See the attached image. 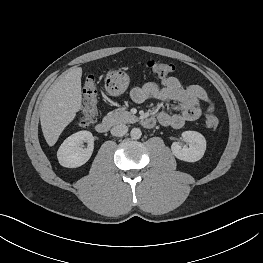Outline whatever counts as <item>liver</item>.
Returning <instances> with one entry per match:
<instances>
[{"mask_svg":"<svg viewBox=\"0 0 263 263\" xmlns=\"http://www.w3.org/2000/svg\"><path fill=\"white\" fill-rule=\"evenodd\" d=\"M81 67L68 69L45 93L40 107L44 138L53 146L82 106Z\"/></svg>","mask_w":263,"mask_h":263,"instance_id":"liver-1","label":"liver"}]
</instances>
